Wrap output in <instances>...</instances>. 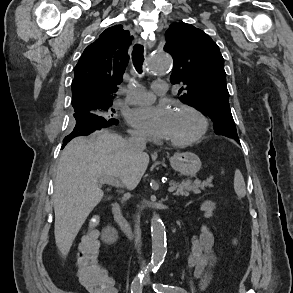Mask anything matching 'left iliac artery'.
<instances>
[{
	"instance_id": "44dca946",
	"label": "left iliac artery",
	"mask_w": 293,
	"mask_h": 293,
	"mask_svg": "<svg viewBox=\"0 0 293 293\" xmlns=\"http://www.w3.org/2000/svg\"><path fill=\"white\" fill-rule=\"evenodd\" d=\"M157 270L153 269L155 273ZM153 289L156 293H187L185 289L177 286H169L162 283L153 284Z\"/></svg>"
}]
</instances>
